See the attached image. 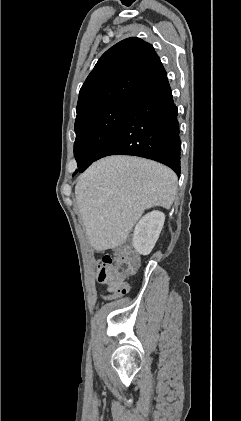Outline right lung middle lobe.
<instances>
[{"instance_id":"1","label":"right lung middle lobe","mask_w":241,"mask_h":421,"mask_svg":"<svg viewBox=\"0 0 241 421\" xmlns=\"http://www.w3.org/2000/svg\"><path fill=\"white\" fill-rule=\"evenodd\" d=\"M130 101H119L93 110L75 121L74 155L78 169H86L120 126Z\"/></svg>"}]
</instances>
